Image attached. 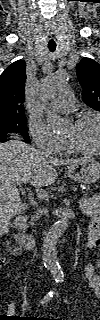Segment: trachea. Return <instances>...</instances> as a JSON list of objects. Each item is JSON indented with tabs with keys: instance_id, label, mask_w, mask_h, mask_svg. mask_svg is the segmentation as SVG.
<instances>
[{
	"instance_id": "obj_1",
	"label": "trachea",
	"mask_w": 100,
	"mask_h": 320,
	"mask_svg": "<svg viewBox=\"0 0 100 320\" xmlns=\"http://www.w3.org/2000/svg\"><path fill=\"white\" fill-rule=\"evenodd\" d=\"M48 48L51 52H54L56 50V45H49Z\"/></svg>"
}]
</instances>
